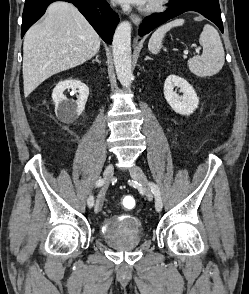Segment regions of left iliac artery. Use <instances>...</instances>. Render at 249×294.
Here are the masks:
<instances>
[{
    "mask_svg": "<svg viewBox=\"0 0 249 294\" xmlns=\"http://www.w3.org/2000/svg\"><path fill=\"white\" fill-rule=\"evenodd\" d=\"M149 187L155 196V208L159 212L162 209V198L160 190L158 186L153 182H149Z\"/></svg>",
    "mask_w": 249,
    "mask_h": 294,
    "instance_id": "1",
    "label": "left iliac artery"
}]
</instances>
